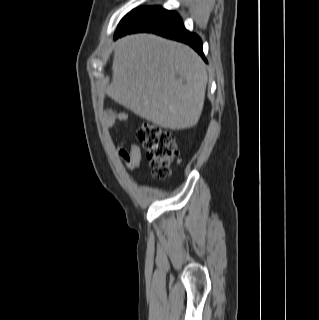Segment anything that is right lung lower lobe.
Masks as SVG:
<instances>
[{
	"label": "right lung lower lobe",
	"mask_w": 319,
	"mask_h": 320,
	"mask_svg": "<svg viewBox=\"0 0 319 320\" xmlns=\"http://www.w3.org/2000/svg\"><path fill=\"white\" fill-rule=\"evenodd\" d=\"M135 32H153L166 38L184 42L194 48L206 60L201 39L198 35L185 29L181 18L175 12L164 10L135 27L119 29L115 34V39Z\"/></svg>",
	"instance_id": "98d812e1"
}]
</instances>
